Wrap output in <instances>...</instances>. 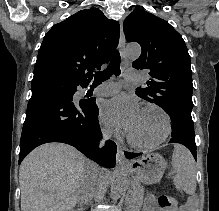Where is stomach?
<instances>
[{
  "label": "stomach",
  "mask_w": 219,
  "mask_h": 211,
  "mask_svg": "<svg viewBox=\"0 0 219 211\" xmlns=\"http://www.w3.org/2000/svg\"><path fill=\"white\" fill-rule=\"evenodd\" d=\"M167 163L158 153H149L132 160L124 169L135 174L145 184H154L161 180Z\"/></svg>",
  "instance_id": "1"
}]
</instances>
